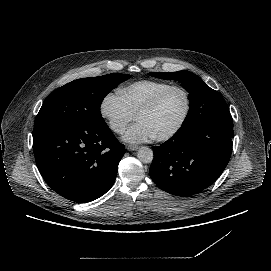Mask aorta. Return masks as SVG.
Segmentation results:
<instances>
[{
	"label": "aorta",
	"instance_id": "1",
	"mask_svg": "<svg viewBox=\"0 0 271 271\" xmlns=\"http://www.w3.org/2000/svg\"><path fill=\"white\" fill-rule=\"evenodd\" d=\"M137 157L142 163H151L153 160V151L148 147H141L137 152Z\"/></svg>",
	"mask_w": 271,
	"mask_h": 271
}]
</instances>
